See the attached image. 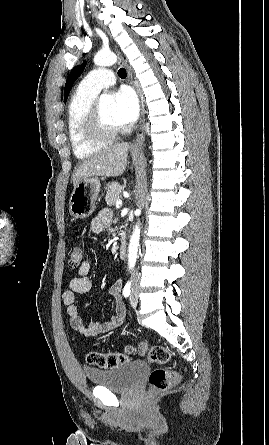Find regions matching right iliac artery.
<instances>
[{"mask_svg": "<svg viewBox=\"0 0 269 445\" xmlns=\"http://www.w3.org/2000/svg\"><path fill=\"white\" fill-rule=\"evenodd\" d=\"M130 288H131V283L127 282L124 289H123V295L124 297H128L130 295Z\"/></svg>", "mask_w": 269, "mask_h": 445, "instance_id": "right-iliac-artery-1", "label": "right iliac artery"}]
</instances>
